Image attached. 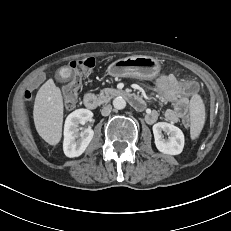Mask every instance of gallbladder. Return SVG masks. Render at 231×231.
<instances>
[{"label":"gallbladder","mask_w":231,"mask_h":231,"mask_svg":"<svg viewBox=\"0 0 231 231\" xmlns=\"http://www.w3.org/2000/svg\"><path fill=\"white\" fill-rule=\"evenodd\" d=\"M72 76V71L68 67L62 68L58 74H57V79L59 81H67L71 78Z\"/></svg>","instance_id":"bac80fb5"}]
</instances>
